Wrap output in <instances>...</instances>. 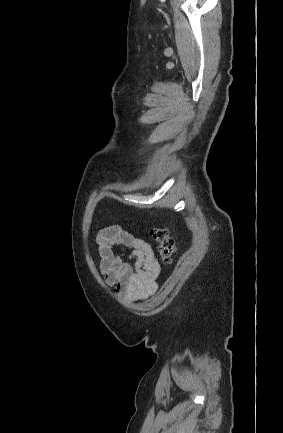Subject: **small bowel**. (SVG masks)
Returning <instances> with one entry per match:
<instances>
[{
	"label": "small bowel",
	"mask_w": 283,
	"mask_h": 433,
	"mask_svg": "<svg viewBox=\"0 0 283 433\" xmlns=\"http://www.w3.org/2000/svg\"><path fill=\"white\" fill-rule=\"evenodd\" d=\"M100 273L126 304L148 298L157 289L160 266L152 247L119 225L99 231L96 239ZM129 249L128 259L116 247Z\"/></svg>",
	"instance_id": "c3829d8e"
}]
</instances>
